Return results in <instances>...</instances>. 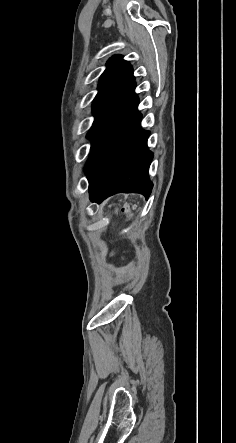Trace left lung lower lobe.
Listing matches in <instances>:
<instances>
[{
	"mask_svg": "<svg viewBox=\"0 0 236 443\" xmlns=\"http://www.w3.org/2000/svg\"><path fill=\"white\" fill-rule=\"evenodd\" d=\"M135 82L91 127V154L85 165L92 202L120 192L141 193L146 199L153 187L149 166L153 153L147 148L150 134L141 128Z\"/></svg>",
	"mask_w": 236,
	"mask_h": 443,
	"instance_id": "obj_1",
	"label": "left lung lower lobe"
}]
</instances>
